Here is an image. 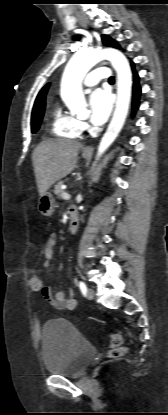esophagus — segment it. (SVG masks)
Instances as JSON below:
<instances>
[{"mask_svg": "<svg viewBox=\"0 0 168 415\" xmlns=\"http://www.w3.org/2000/svg\"><path fill=\"white\" fill-rule=\"evenodd\" d=\"M79 23H80V25H82L83 27H86V26H87V25H86V22H85L82 18H80V17H79ZM84 150H85V151H91L92 149H91L90 147H86Z\"/></svg>", "mask_w": 168, "mask_h": 415, "instance_id": "1", "label": "esophagus"}]
</instances>
